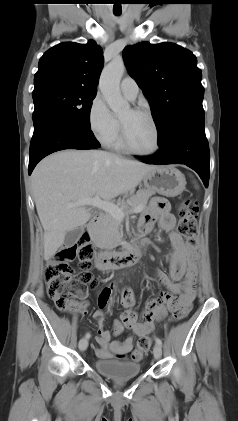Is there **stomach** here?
Listing matches in <instances>:
<instances>
[{"instance_id": "obj_1", "label": "stomach", "mask_w": 238, "mask_h": 421, "mask_svg": "<svg viewBox=\"0 0 238 421\" xmlns=\"http://www.w3.org/2000/svg\"><path fill=\"white\" fill-rule=\"evenodd\" d=\"M143 182L147 189L168 197L181 194L186 185L184 175L173 166H155L144 176Z\"/></svg>"}]
</instances>
